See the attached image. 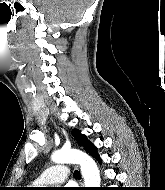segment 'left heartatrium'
I'll return each mask as SVG.
<instances>
[{"label":"left heart atrium","instance_id":"1","mask_svg":"<svg viewBox=\"0 0 165 190\" xmlns=\"http://www.w3.org/2000/svg\"><path fill=\"white\" fill-rule=\"evenodd\" d=\"M64 190H72L70 187H66Z\"/></svg>","mask_w":165,"mask_h":190}]
</instances>
